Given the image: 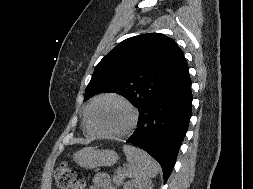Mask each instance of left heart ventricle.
Listing matches in <instances>:
<instances>
[{"mask_svg": "<svg viewBox=\"0 0 253 189\" xmlns=\"http://www.w3.org/2000/svg\"><path fill=\"white\" fill-rule=\"evenodd\" d=\"M92 119L98 130L105 133H117L129 125L131 113L121 102L106 99L95 105Z\"/></svg>", "mask_w": 253, "mask_h": 189, "instance_id": "obj_1", "label": "left heart ventricle"}]
</instances>
